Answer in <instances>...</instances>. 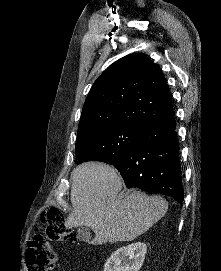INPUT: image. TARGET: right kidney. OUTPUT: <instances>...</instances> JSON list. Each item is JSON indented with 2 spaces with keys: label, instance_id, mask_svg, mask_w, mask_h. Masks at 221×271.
Listing matches in <instances>:
<instances>
[{
  "label": "right kidney",
  "instance_id": "ca27d5eb",
  "mask_svg": "<svg viewBox=\"0 0 221 271\" xmlns=\"http://www.w3.org/2000/svg\"><path fill=\"white\" fill-rule=\"evenodd\" d=\"M147 245L134 241L118 247L104 263V271H139L146 255Z\"/></svg>",
  "mask_w": 221,
  "mask_h": 271
}]
</instances>
